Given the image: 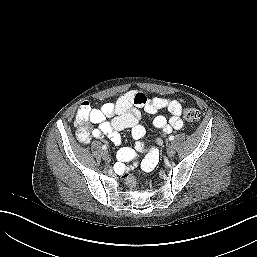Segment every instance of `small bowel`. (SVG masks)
<instances>
[{"mask_svg": "<svg viewBox=\"0 0 257 257\" xmlns=\"http://www.w3.org/2000/svg\"><path fill=\"white\" fill-rule=\"evenodd\" d=\"M86 124H81L80 111L76 114L77 137L82 143H89L92 138L100 139L108 136L110 140L119 145L121 137L119 132L124 129H131L133 138L136 140L135 150L122 148L118 152V157L123 162L138 161L137 152L143 151L145 143L142 141L146 131L140 123V109L149 114H155L166 110L169 116L158 115L153 119V126L160 130L163 137L172 131L180 130L183 127L181 119L183 101L179 98H148L139 90H130L123 94L118 101L106 103L101 108H91ZM88 122L95 124L92 130L88 128ZM158 160V149L156 146L150 148L146 156L140 161V166L145 171L152 170ZM122 170L123 166L118 165Z\"/></svg>", "mask_w": 257, "mask_h": 257, "instance_id": "obj_1", "label": "small bowel"}]
</instances>
